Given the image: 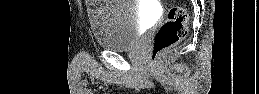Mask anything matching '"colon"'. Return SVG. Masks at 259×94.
Masks as SVG:
<instances>
[{
  "label": "colon",
  "instance_id": "1",
  "mask_svg": "<svg viewBox=\"0 0 259 94\" xmlns=\"http://www.w3.org/2000/svg\"><path fill=\"white\" fill-rule=\"evenodd\" d=\"M188 12L181 5L174 4L167 17L153 36L150 63L155 65L160 54L175 45L186 35Z\"/></svg>",
  "mask_w": 259,
  "mask_h": 94
}]
</instances>
